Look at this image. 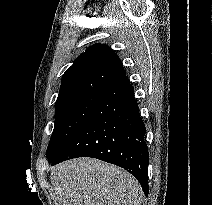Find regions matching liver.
Masks as SVG:
<instances>
[{"label":"liver","instance_id":"6515ba94","mask_svg":"<svg viewBox=\"0 0 212 205\" xmlns=\"http://www.w3.org/2000/svg\"><path fill=\"white\" fill-rule=\"evenodd\" d=\"M56 205H141L142 188L123 169L94 158H77L51 169Z\"/></svg>","mask_w":212,"mask_h":205}]
</instances>
